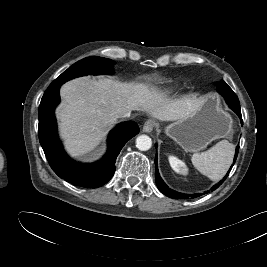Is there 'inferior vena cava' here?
<instances>
[{
    "mask_svg": "<svg viewBox=\"0 0 267 267\" xmlns=\"http://www.w3.org/2000/svg\"><path fill=\"white\" fill-rule=\"evenodd\" d=\"M130 115H131V111H128V112H125V113H123L122 115H121V117H130Z\"/></svg>",
    "mask_w": 267,
    "mask_h": 267,
    "instance_id": "602c4592",
    "label": "inferior vena cava"
}]
</instances>
